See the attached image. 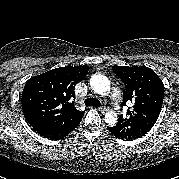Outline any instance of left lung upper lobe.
Masks as SVG:
<instances>
[{
	"mask_svg": "<svg viewBox=\"0 0 179 179\" xmlns=\"http://www.w3.org/2000/svg\"><path fill=\"white\" fill-rule=\"evenodd\" d=\"M114 73L124 83L121 107H128L126 116H119L114 126L115 136L134 139L146 134L157 121L164 99V84L158 75L146 66H112ZM130 108V110H129Z\"/></svg>",
	"mask_w": 179,
	"mask_h": 179,
	"instance_id": "1",
	"label": "left lung upper lobe"
}]
</instances>
